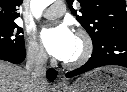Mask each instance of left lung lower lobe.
<instances>
[{"mask_svg": "<svg viewBox=\"0 0 127 92\" xmlns=\"http://www.w3.org/2000/svg\"><path fill=\"white\" fill-rule=\"evenodd\" d=\"M104 65L127 67V37L108 36L96 46L86 64L66 73V77H74Z\"/></svg>", "mask_w": 127, "mask_h": 92, "instance_id": "1", "label": "left lung lower lobe"}]
</instances>
